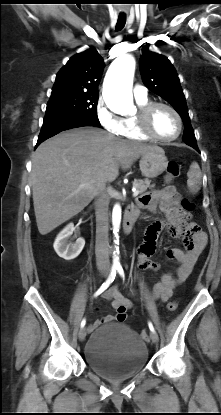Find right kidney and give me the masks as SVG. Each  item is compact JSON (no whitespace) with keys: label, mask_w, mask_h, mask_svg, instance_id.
<instances>
[{"label":"right kidney","mask_w":221,"mask_h":415,"mask_svg":"<svg viewBox=\"0 0 221 415\" xmlns=\"http://www.w3.org/2000/svg\"><path fill=\"white\" fill-rule=\"evenodd\" d=\"M74 230V224H68L58 234L53 245L58 256L65 260H72L76 258L81 253L85 245V240L83 238H78L74 244H68V239L73 234Z\"/></svg>","instance_id":"obj_1"}]
</instances>
